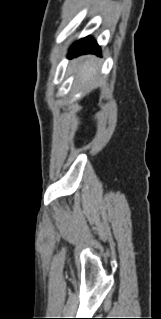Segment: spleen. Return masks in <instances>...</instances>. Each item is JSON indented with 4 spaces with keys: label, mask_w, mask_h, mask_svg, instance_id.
<instances>
[{
    "label": "spleen",
    "mask_w": 161,
    "mask_h": 319,
    "mask_svg": "<svg viewBox=\"0 0 161 319\" xmlns=\"http://www.w3.org/2000/svg\"><path fill=\"white\" fill-rule=\"evenodd\" d=\"M97 69L94 68L93 60H88L80 68L79 75L83 77L84 83L94 85Z\"/></svg>",
    "instance_id": "1"
}]
</instances>
